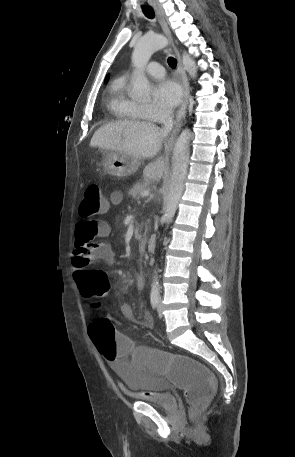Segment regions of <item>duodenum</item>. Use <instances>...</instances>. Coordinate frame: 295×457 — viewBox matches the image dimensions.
Masks as SVG:
<instances>
[{
    "instance_id": "410a0bca",
    "label": "duodenum",
    "mask_w": 295,
    "mask_h": 457,
    "mask_svg": "<svg viewBox=\"0 0 295 457\" xmlns=\"http://www.w3.org/2000/svg\"><path fill=\"white\" fill-rule=\"evenodd\" d=\"M147 243H148V240L146 238H141L139 240V250L141 252H144L146 250Z\"/></svg>"
}]
</instances>
